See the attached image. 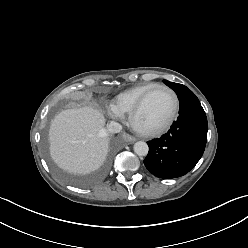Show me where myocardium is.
<instances>
[{
	"instance_id": "1",
	"label": "myocardium",
	"mask_w": 248,
	"mask_h": 248,
	"mask_svg": "<svg viewBox=\"0 0 248 248\" xmlns=\"http://www.w3.org/2000/svg\"><path fill=\"white\" fill-rule=\"evenodd\" d=\"M156 89H164L166 90L172 97L173 99V108L172 112L169 116V118L166 120L165 123H163L161 126L152 129V130H144L139 128L136 125V118L138 114L140 113L141 109L143 108V105L145 104L146 99L148 96ZM178 110H179V100L176 95V93L168 86L163 85V84H156L155 86L151 87L148 89L146 92L142 94V96L139 98L137 101L136 105L132 109V111L129 114V124L131 128L139 135L145 136V137H158L162 134H164L166 131H168L173 123L175 122L177 115H178Z\"/></svg>"
}]
</instances>
